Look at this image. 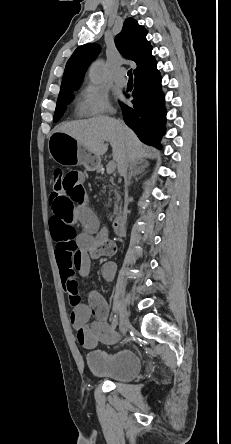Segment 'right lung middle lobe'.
I'll use <instances>...</instances> for the list:
<instances>
[{
	"label": "right lung middle lobe",
	"mask_w": 231,
	"mask_h": 444,
	"mask_svg": "<svg viewBox=\"0 0 231 444\" xmlns=\"http://www.w3.org/2000/svg\"><path fill=\"white\" fill-rule=\"evenodd\" d=\"M74 90V89H73ZM73 90H69L63 93H59V97L57 100L56 110L54 113L53 121L57 122L65 111V105L69 97L72 95Z\"/></svg>",
	"instance_id": "right-lung-middle-lobe-1"
}]
</instances>
